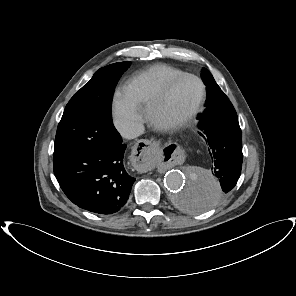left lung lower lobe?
I'll use <instances>...</instances> for the list:
<instances>
[{"label":"left lung lower lobe","instance_id":"0a47b994","mask_svg":"<svg viewBox=\"0 0 296 296\" xmlns=\"http://www.w3.org/2000/svg\"><path fill=\"white\" fill-rule=\"evenodd\" d=\"M199 135L212 160V173L220 188L212 190L193 183L181 198L184 208L201 212L209 209L236 185L242 168V134L236 111L226 95L212 102L198 116Z\"/></svg>","mask_w":296,"mask_h":296}]
</instances>
